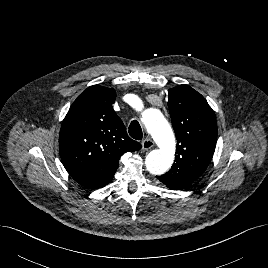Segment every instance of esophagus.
<instances>
[{"mask_svg":"<svg viewBox=\"0 0 268 268\" xmlns=\"http://www.w3.org/2000/svg\"><path fill=\"white\" fill-rule=\"evenodd\" d=\"M154 146V142L150 138H146L142 142V149L143 150H149Z\"/></svg>","mask_w":268,"mask_h":268,"instance_id":"esophagus-1","label":"esophagus"}]
</instances>
